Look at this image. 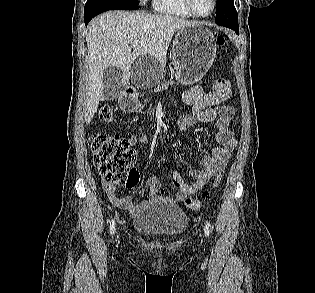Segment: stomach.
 Listing matches in <instances>:
<instances>
[{
  "mask_svg": "<svg viewBox=\"0 0 315 293\" xmlns=\"http://www.w3.org/2000/svg\"><path fill=\"white\" fill-rule=\"evenodd\" d=\"M216 56L213 33L202 24H194L179 30L173 42L172 59L176 79L182 85H191L203 78ZM144 96L136 92H121L118 96L120 110H139Z\"/></svg>",
  "mask_w": 315,
  "mask_h": 293,
  "instance_id": "1",
  "label": "stomach"
}]
</instances>
